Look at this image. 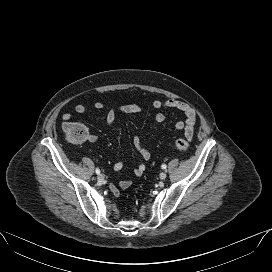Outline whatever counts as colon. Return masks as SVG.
Segmentation results:
<instances>
[{
  "mask_svg": "<svg viewBox=\"0 0 272 272\" xmlns=\"http://www.w3.org/2000/svg\"><path fill=\"white\" fill-rule=\"evenodd\" d=\"M67 138L76 143L83 142L88 139L89 134L85 126L75 122H66L63 126ZM190 132L183 138H178L175 142L178 150L185 152L189 148Z\"/></svg>",
  "mask_w": 272,
  "mask_h": 272,
  "instance_id": "1",
  "label": "colon"
}]
</instances>
